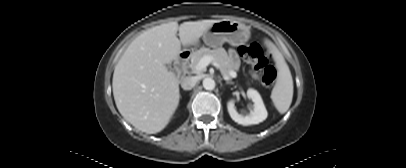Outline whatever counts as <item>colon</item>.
<instances>
[{
    "label": "colon",
    "instance_id": "colon-1",
    "mask_svg": "<svg viewBox=\"0 0 406 168\" xmlns=\"http://www.w3.org/2000/svg\"><path fill=\"white\" fill-rule=\"evenodd\" d=\"M241 58L250 63L255 70L261 73L262 83L266 87H271L276 79V70L269 64L268 59L260 44L253 42L242 45L239 48Z\"/></svg>",
    "mask_w": 406,
    "mask_h": 168
}]
</instances>
